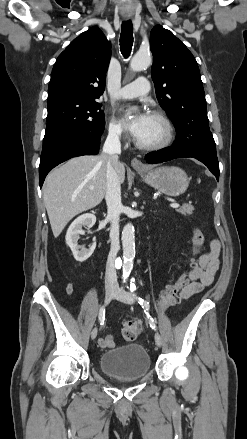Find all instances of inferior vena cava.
Returning a JSON list of instances; mask_svg holds the SVG:
<instances>
[{"label": "inferior vena cava", "mask_w": 247, "mask_h": 439, "mask_svg": "<svg viewBox=\"0 0 247 439\" xmlns=\"http://www.w3.org/2000/svg\"><path fill=\"white\" fill-rule=\"evenodd\" d=\"M103 152L109 156L106 165V204L107 220L111 222V247L106 264L105 287L117 289L118 282L115 259L120 249L119 216L123 209L121 203V186L117 173V168L120 163L118 154L121 153V144L117 132L109 131L103 146Z\"/></svg>", "instance_id": "inferior-vena-cava-1"}]
</instances>
